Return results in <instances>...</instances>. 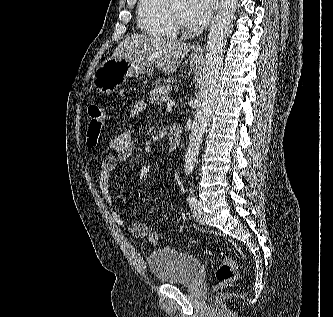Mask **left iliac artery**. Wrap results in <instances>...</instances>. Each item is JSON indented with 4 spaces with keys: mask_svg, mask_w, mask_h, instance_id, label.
I'll list each match as a JSON object with an SVG mask.
<instances>
[{
    "mask_svg": "<svg viewBox=\"0 0 333 317\" xmlns=\"http://www.w3.org/2000/svg\"><path fill=\"white\" fill-rule=\"evenodd\" d=\"M186 200H187L189 206L191 207V209H194L197 207L198 201L195 197L188 196Z\"/></svg>",
    "mask_w": 333,
    "mask_h": 317,
    "instance_id": "1",
    "label": "left iliac artery"
}]
</instances>
